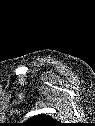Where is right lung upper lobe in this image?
Returning <instances> with one entry per match:
<instances>
[{"label":"right lung upper lobe","instance_id":"cb5924a9","mask_svg":"<svg viewBox=\"0 0 95 126\" xmlns=\"http://www.w3.org/2000/svg\"><path fill=\"white\" fill-rule=\"evenodd\" d=\"M26 125L27 126H58L60 125V123H58L50 116L38 115L28 120Z\"/></svg>","mask_w":95,"mask_h":126}]
</instances>
